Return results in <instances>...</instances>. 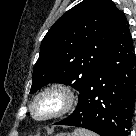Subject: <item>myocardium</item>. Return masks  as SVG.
Masks as SVG:
<instances>
[{"label":"myocardium","instance_id":"f54148a6","mask_svg":"<svg viewBox=\"0 0 136 136\" xmlns=\"http://www.w3.org/2000/svg\"><path fill=\"white\" fill-rule=\"evenodd\" d=\"M57 95L60 99V106L59 108L54 111L53 113L46 115V116H38L36 115L34 109L37 102L48 95ZM76 101V97L74 91L66 84L61 82H54L51 83L40 91H38L35 96L33 97L29 110L32 117L37 121H50L54 119H58L63 117L64 115L68 114L74 107Z\"/></svg>","mask_w":136,"mask_h":136}]
</instances>
